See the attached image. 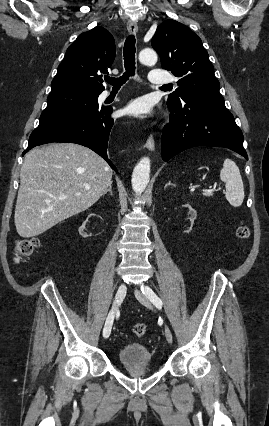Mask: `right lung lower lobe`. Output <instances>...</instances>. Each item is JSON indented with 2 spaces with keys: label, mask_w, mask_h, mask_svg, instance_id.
Wrapping results in <instances>:
<instances>
[{
  "label": "right lung lower lobe",
  "mask_w": 269,
  "mask_h": 426,
  "mask_svg": "<svg viewBox=\"0 0 269 426\" xmlns=\"http://www.w3.org/2000/svg\"><path fill=\"white\" fill-rule=\"evenodd\" d=\"M112 108L96 107L75 115L53 120L39 126L29 138L28 148L23 155L35 146L51 142H70L86 146L101 157L117 172L108 159L107 144L114 123L110 117Z\"/></svg>",
  "instance_id": "right-lung-lower-lobe-1"
}]
</instances>
